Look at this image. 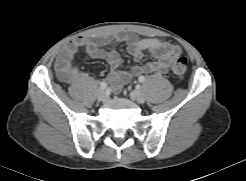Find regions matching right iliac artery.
<instances>
[{
    "mask_svg": "<svg viewBox=\"0 0 246 181\" xmlns=\"http://www.w3.org/2000/svg\"><path fill=\"white\" fill-rule=\"evenodd\" d=\"M106 87H107V83H106L105 81H102V82L100 83V88H101V89H106Z\"/></svg>",
    "mask_w": 246,
    "mask_h": 181,
    "instance_id": "right-iliac-artery-1",
    "label": "right iliac artery"
}]
</instances>
